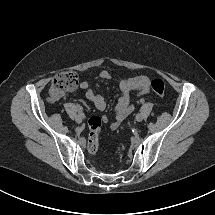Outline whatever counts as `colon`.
I'll return each mask as SVG.
<instances>
[{"label": "colon", "mask_w": 215, "mask_h": 215, "mask_svg": "<svg viewBox=\"0 0 215 215\" xmlns=\"http://www.w3.org/2000/svg\"><path fill=\"white\" fill-rule=\"evenodd\" d=\"M78 84L79 80L76 73L72 71L58 73L52 80L49 89V101H59L66 93L77 89ZM151 88L156 96H164L165 84L162 80H153L151 83ZM87 125L89 129L88 151L90 154L95 155L99 148V131L102 125V120L100 117L94 116L89 118Z\"/></svg>", "instance_id": "colon-1"}]
</instances>
